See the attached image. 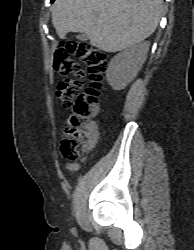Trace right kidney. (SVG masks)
<instances>
[{
  "label": "right kidney",
  "instance_id": "1",
  "mask_svg": "<svg viewBox=\"0 0 194 250\" xmlns=\"http://www.w3.org/2000/svg\"><path fill=\"white\" fill-rule=\"evenodd\" d=\"M150 43L136 44L114 56L106 71V79L114 90L124 89L137 75L147 58Z\"/></svg>",
  "mask_w": 194,
  "mask_h": 250
}]
</instances>
